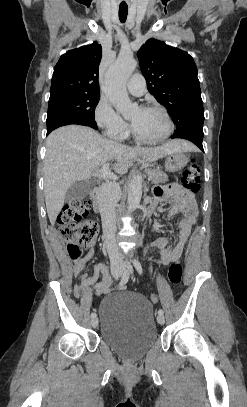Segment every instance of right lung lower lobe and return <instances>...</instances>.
Masks as SVG:
<instances>
[{"mask_svg": "<svg viewBox=\"0 0 247 407\" xmlns=\"http://www.w3.org/2000/svg\"><path fill=\"white\" fill-rule=\"evenodd\" d=\"M68 124L85 125V126H90V127L94 128V129H97V126H92V125H89V124H86V123H83V122L65 121V122L57 123V124H55L54 126H52V127H50V128H47V135H48L51 131H53L54 129H56V128L60 127V126L68 125Z\"/></svg>", "mask_w": 247, "mask_h": 407, "instance_id": "98d812e1", "label": "right lung lower lobe"}]
</instances>
